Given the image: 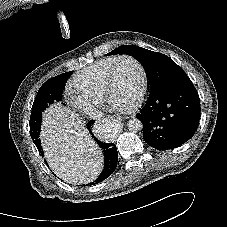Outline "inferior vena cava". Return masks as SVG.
Listing matches in <instances>:
<instances>
[{
    "mask_svg": "<svg viewBox=\"0 0 227 227\" xmlns=\"http://www.w3.org/2000/svg\"><path fill=\"white\" fill-rule=\"evenodd\" d=\"M86 114L89 116L90 119H94V120H97L99 119L100 117H102V112L99 111L98 109L96 108H91L89 109Z\"/></svg>",
    "mask_w": 227,
    "mask_h": 227,
    "instance_id": "1",
    "label": "inferior vena cava"
}]
</instances>
